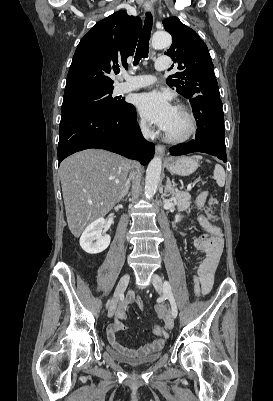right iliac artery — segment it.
<instances>
[{
    "label": "right iliac artery",
    "instance_id": "obj_1",
    "mask_svg": "<svg viewBox=\"0 0 273 401\" xmlns=\"http://www.w3.org/2000/svg\"><path fill=\"white\" fill-rule=\"evenodd\" d=\"M109 302H110V301H108V303H107V305H106L107 307H108V305H109Z\"/></svg>",
    "mask_w": 273,
    "mask_h": 401
}]
</instances>
